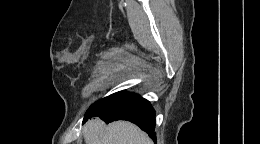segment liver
Instances as JSON below:
<instances>
[{
    "mask_svg": "<svg viewBox=\"0 0 260 144\" xmlns=\"http://www.w3.org/2000/svg\"><path fill=\"white\" fill-rule=\"evenodd\" d=\"M86 144H153L148 135L127 121L106 125L99 118L92 119L83 128Z\"/></svg>",
    "mask_w": 260,
    "mask_h": 144,
    "instance_id": "6515ba94",
    "label": "liver"
}]
</instances>
